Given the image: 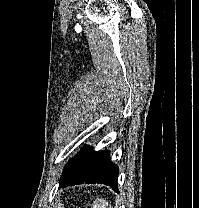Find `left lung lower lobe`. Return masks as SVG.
Wrapping results in <instances>:
<instances>
[{"label":"left lung lower lobe","instance_id":"0a47b994","mask_svg":"<svg viewBox=\"0 0 199 208\" xmlns=\"http://www.w3.org/2000/svg\"><path fill=\"white\" fill-rule=\"evenodd\" d=\"M119 169L110 160L108 150L95 152L90 146H85L65 166L59 187L76 184L103 183L118 191L117 179Z\"/></svg>","mask_w":199,"mask_h":208}]
</instances>
